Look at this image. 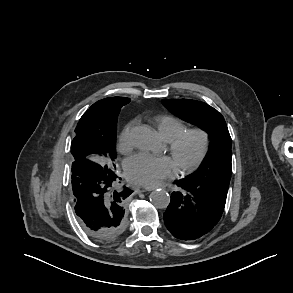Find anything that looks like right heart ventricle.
<instances>
[{
	"mask_svg": "<svg viewBox=\"0 0 293 293\" xmlns=\"http://www.w3.org/2000/svg\"><path fill=\"white\" fill-rule=\"evenodd\" d=\"M154 122L160 135L167 142L187 129L186 125L180 119L170 115L156 116Z\"/></svg>",
	"mask_w": 293,
	"mask_h": 293,
	"instance_id": "e07e8e85",
	"label": "right heart ventricle"
}]
</instances>
